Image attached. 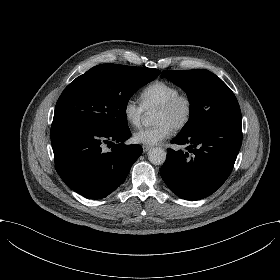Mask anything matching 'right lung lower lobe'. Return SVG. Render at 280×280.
<instances>
[{"label": "right lung lower lobe", "instance_id": "98d812e1", "mask_svg": "<svg viewBox=\"0 0 280 280\" xmlns=\"http://www.w3.org/2000/svg\"><path fill=\"white\" fill-rule=\"evenodd\" d=\"M128 127L118 131H100L78 123L51 126L55 166L65 184L89 199H101L117 189L142 153L140 145H125ZM116 145L111 152L104 144Z\"/></svg>", "mask_w": 280, "mask_h": 280}]
</instances>
